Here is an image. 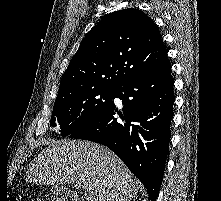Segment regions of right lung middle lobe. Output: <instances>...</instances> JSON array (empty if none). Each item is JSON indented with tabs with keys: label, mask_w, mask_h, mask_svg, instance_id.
I'll use <instances>...</instances> for the list:
<instances>
[{
	"label": "right lung middle lobe",
	"mask_w": 221,
	"mask_h": 201,
	"mask_svg": "<svg viewBox=\"0 0 221 201\" xmlns=\"http://www.w3.org/2000/svg\"><path fill=\"white\" fill-rule=\"evenodd\" d=\"M115 90L93 88L56 99L50 126L60 128L63 136L79 129L112 103Z\"/></svg>",
	"instance_id": "1"
}]
</instances>
